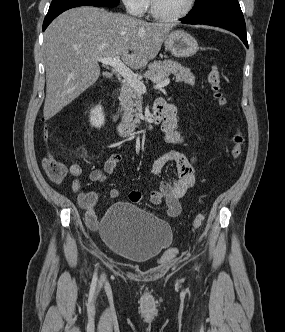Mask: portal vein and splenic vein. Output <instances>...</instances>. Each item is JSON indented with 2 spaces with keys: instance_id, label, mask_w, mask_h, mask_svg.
<instances>
[{
  "instance_id": "obj_1",
  "label": "portal vein and splenic vein",
  "mask_w": 285,
  "mask_h": 332,
  "mask_svg": "<svg viewBox=\"0 0 285 332\" xmlns=\"http://www.w3.org/2000/svg\"><path fill=\"white\" fill-rule=\"evenodd\" d=\"M97 61L101 62L104 65H110L116 71H118L124 79L138 92L145 93L146 86L137 78V75L133 73L122 61L120 60L119 56L114 58H97ZM156 85L154 86L155 89H162L166 87L170 83V79H162L157 78L155 79Z\"/></svg>"
}]
</instances>
